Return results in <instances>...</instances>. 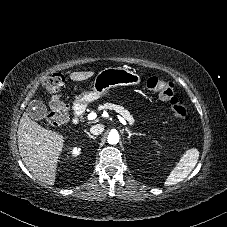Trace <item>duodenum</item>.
Here are the masks:
<instances>
[{"label":"duodenum","mask_w":227,"mask_h":227,"mask_svg":"<svg viewBox=\"0 0 227 227\" xmlns=\"http://www.w3.org/2000/svg\"><path fill=\"white\" fill-rule=\"evenodd\" d=\"M74 110V123L77 124L85 113V108L82 104L77 103L73 107Z\"/></svg>","instance_id":"duodenum-1"}]
</instances>
